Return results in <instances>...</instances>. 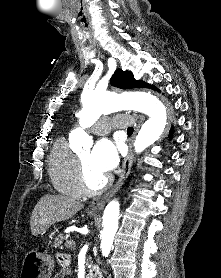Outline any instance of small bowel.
<instances>
[{
    "label": "small bowel",
    "instance_id": "small-bowel-1",
    "mask_svg": "<svg viewBox=\"0 0 221 278\" xmlns=\"http://www.w3.org/2000/svg\"><path fill=\"white\" fill-rule=\"evenodd\" d=\"M62 268L53 278H65L70 274V269L68 267V261L65 258L61 259Z\"/></svg>",
    "mask_w": 221,
    "mask_h": 278
}]
</instances>
